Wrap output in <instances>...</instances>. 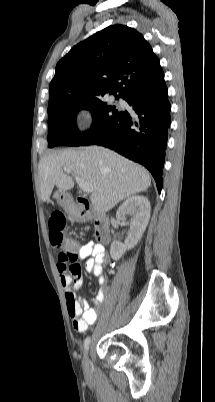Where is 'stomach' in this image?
<instances>
[{
  "label": "stomach",
  "instance_id": "stomach-1",
  "mask_svg": "<svg viewBox=\"0 0 215 402\" xmlns=\"http://www.w3.org/2000/svg\"><path fill=\"white\" fill-rule=\"evenodd\" d=\"M54 197L57 199L58 203L64 208L68 209L69 199L68 194L63 191H57L54 194Z\"/></svg>",
  "mask_w": 215,
  "mask_h": 402
}]
</instances>
